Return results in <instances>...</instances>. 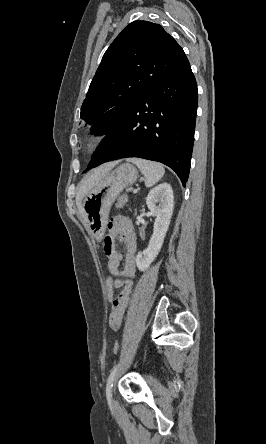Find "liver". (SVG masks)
<instances>
[{"mask_svg":"<svg viewBox=\"0 0 266 444\" xmlns=\"http://www.w3.org/2000/svg\"><path fill=\"white\" fill-rule=\"evenodd\" d=\"M117 162L103 164L99 168L93 170L80 182L78 194L76 196V205L82 214V199L91 191V189L108 173Z\"/></svg>","mask_w":266,"mask_h":444,"instance_id":"1","label":"liver"}]
</instances>
